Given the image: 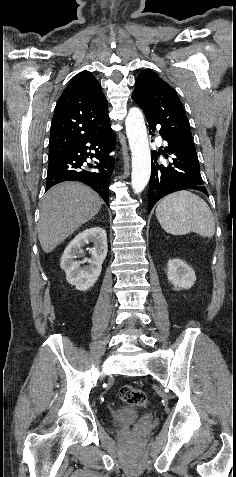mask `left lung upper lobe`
Segmentation results:
<instances>
[{
    "mask_svg": "<svg viewBox=\"0 0 236 477\" xmlns=\"http://www.w3.org/2000/svg\"><path fill=\"white\" fill-rule=\"evenodd\" d=\"M133 99L144 111L147 121L161 126L160 132L173 144L196 154L188 119L176 91L155 72L142 71Z\"/></svg>",
    "mask_w": 236,
    "mask_h": 477,
    "instance_id": "left-lung-upper-lobe-1",
    "label": "left lung upper lobe"
}]
</instances>
